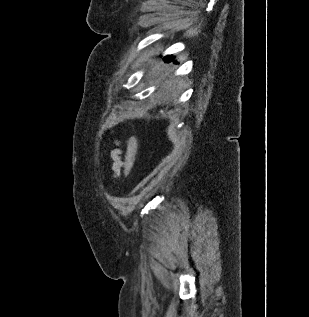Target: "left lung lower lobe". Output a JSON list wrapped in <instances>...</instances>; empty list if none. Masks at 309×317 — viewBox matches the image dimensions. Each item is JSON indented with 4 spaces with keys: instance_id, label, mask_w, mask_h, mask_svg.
<instances>
[{
    "instance_id": "1",
    "label": "left lung lower lobe",
    "mask_w": 309,
    "mask_h": 317,
    "mask_svg": "<svg viewBox=\"0 0 309 317\" xmlns=\"http://www.w3.org/2000/svg\"><path fill=\"white\" fill-rule=\"evenodd\" d=\"M164 60L167 61V62H170V61H173V60H174V57H173V56H166V57L164 58ZM175 62H176V61H175Z\"/></svg>"
}]
</instances>
